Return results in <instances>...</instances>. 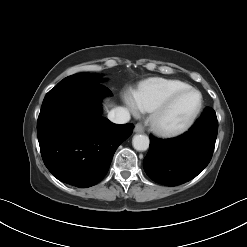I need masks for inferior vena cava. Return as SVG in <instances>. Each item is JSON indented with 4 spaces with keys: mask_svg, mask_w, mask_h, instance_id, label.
Listing matches in <instances>:
<instances>
[{
    "mask_svg": "<svg viewBox=\"0 0 247 247\" xmlns=\"http://www.w3.org/2000/svg\"><path fill=\"white\" fill-rule=\"evenodd\" d=\"M108 119L117 124H124L129 122V111L124 107H116L108 113Z\"/></svg>",
    "mask_w": 247,
    "mask_h": 247,
    "instance_id": "obj_1",
    "label": "inferior vena cava"
}]
</instances>
